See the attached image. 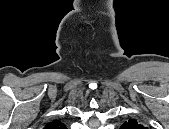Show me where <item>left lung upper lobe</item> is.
Returning <instances> with one entry per match:
<instances>
[{
	"mask_svg": "<svg viewBox=\"0 0 169 129\" xmlns=\"http://www.w3.org/2000/svg\"><path fill=\"white\" fill-rule=\"evenodd\" d=\"M120 129H144L136 120L130 119L122 124Z\"/></svg>",
	"mask_w": 169,
	"mask_h": 129,
	"instance_id": "5c2ea615",
	"label": "left lung upper lobe"
}]
</instances>
